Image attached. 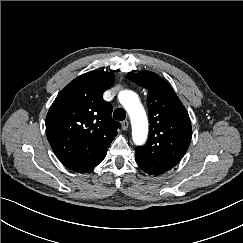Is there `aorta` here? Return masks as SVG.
<instances>
[{
	"mask_svg": "<svg viewBox=\"0 0 243 243\" xmlns=\"http://www.w3.org/2000/svg\"><path fill=\"white\" fill-rule=\"evenodd\" d=\"M119 100L130 115L134 143L143 144L147 138L148 121L137 94L130 90H124L119 93Z\"/></svg>",
	"mask_w": 243,
	"mask_h": 243,
	"instance_id": "obj_1",
	"label": "aorta"
}]
</instances>
